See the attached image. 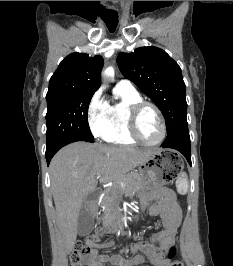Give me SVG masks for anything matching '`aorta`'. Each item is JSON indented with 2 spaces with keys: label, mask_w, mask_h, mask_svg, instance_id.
I'll return each instance as SVG.
<instances>
[{
  "label": "aorta",
  "mask_w": 233,
  "mask_h": 266,
  "mask_svg": "<svg viewBox=\"0 0 233 266\" xmlns=\"http://www.w3.org/2000/svg\"><path fill=\"white\" fill-rule=\"evenodd\" d=\"M104 73L107 76H114V69L112 67H108V68H106V70L104 71Z\"/></svg>",
  "instance_id": "762f6f07"
}]
</instances>
